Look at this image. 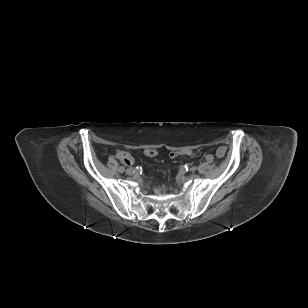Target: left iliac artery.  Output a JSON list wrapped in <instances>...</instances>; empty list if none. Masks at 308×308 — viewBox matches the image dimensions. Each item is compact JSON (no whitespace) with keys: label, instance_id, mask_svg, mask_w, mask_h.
Wrapping results in <instances>:
<instances>
[{"label":"left iliac artery","instance_id":"obj_1","mask_svg":"<svg viewBox=\"0 0 308 308\" xmlns=\"http://www.w3.org/2000/svg\"><path fill=\"white\" fill-rule=\"evenodd\" d=\"M206 161L207 162H212V156H206Z\"/></svg>","mask_w":308,"mask_h":308}]
</instances>
